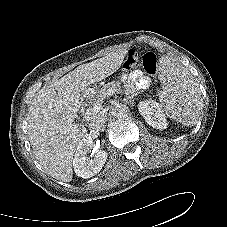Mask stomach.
<instances>
[{
	"label": "stomach",
	"instance_id": "1",
	"mask_svg": "<svg viewBox=\"0 0 227 227\" xmlns=\"http://www.w3.org/2000/svg\"><path fill=\"white\" fill-rule=\"evenodd\" d=\"M111 87V82L109 80L104 81H97L94 84L89 85L84 93L83 96L87 97V93L94 94L97 91L103 90V89H109Z\"/></svg>",
	"mask_w": 227,
	"mask_h": 227
}]
</instances>
